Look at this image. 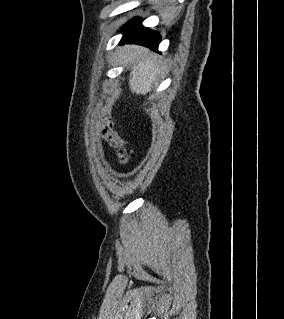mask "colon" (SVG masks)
I'll use <instances>...</instances> for the list:
<instances>
[{
	"instance_id": "1",
	"label": "colon",
	"mask_w": 284,
	"mask_h": 319,
	"mask_svg": "<svg viewBox=\"0 0 284 319\" xmlns=\"http://www.w3.org/2000/svg\"><path fill=\"white\" fill-rule=\"evenodd\" d=\"M102 137L113 148L118 160L125 163L129 158V150L124 141L113 131L110 122H105L101 131Z\"/></svg>"
}]
</instances>
